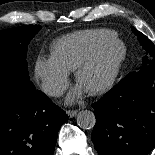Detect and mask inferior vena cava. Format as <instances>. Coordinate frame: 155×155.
Wrapping results in <instances>:
<instances>
[{
    "label": "inferior vena cava",
    "mask_w": 155,
    "mask_h": 155,
    "mask_svg": "<svg viewBox=\"0 0 155 155\" xmlns=\"http://www.w3.org/2000/svg\"><path fill=\"white\" fill-rule=\"evenodd\" d=\"M42 90L46 94H48L50 96H56V97L62 96L64 93L63 87L59 84L54 83V82H44L42 84Z\"/></svg>",
    "instance_id": "obj_1"
}]
</instances>
